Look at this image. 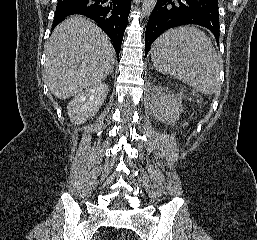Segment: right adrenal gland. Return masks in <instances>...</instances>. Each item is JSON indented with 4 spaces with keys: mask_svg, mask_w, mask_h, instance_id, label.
<instances>
[{
    "mask_svg": "<svg viewBox=\"0 0 257 240\" xmlns=\"http://www.w3.org/2000/svg\"><path fill=\"white\" fill-rule=\"evenodd\" d=\"M110 73H112V75H114V70L112 69Z\"/></svg>",
    "mask_w": 257,
    "mask_h": 240,
    "instance_id": "2a0ac1e0",
    "label": "right adrenal gland"
}]
</instances>
